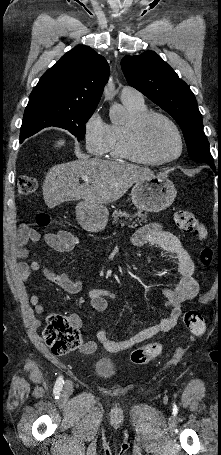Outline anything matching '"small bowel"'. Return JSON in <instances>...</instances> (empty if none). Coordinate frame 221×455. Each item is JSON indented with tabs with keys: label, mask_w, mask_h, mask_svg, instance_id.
Here are the masks:
<instances>
[{
	"label": "small bowel",
	"mask_w": 221,
	"mask_h": 455,
	"mask_svg": "<svg viewBox=\"0 0 221 455\" xmlns=\"http://www.w3.org/2000/svg\"><path fill=\"white\" fill-rule=\"evenodd\" d=\"M42 237L50 247L59 252H71L79 244V238L69 231L60 230L41 235L40 232L30 226L22 225L19 229V242L16 248L18 257L17 266L21 280L26 281L31 274L41 270L49 282L58 285L68 294H77L82 287L80 280L71 278L65 272L58 273L51 268H42L35 261L30 263L25 262V258L28 255V242L35 243ZM131 244L133 246L155 245L175 255L178 265L172 273L177 278V283L173 288L162 289L166 297V306L169 308V312L154 325L136 334L129 335L121 341L111 339L103 327L97 330V341L109 352H120L130 349L156 335L172 330L182 315L183 305L194 299L199 292V284L193 276L195 270L194 261L175 234L163 229L159 225H150L137 231L131 239ZM87 296L91 301L92 308L97 312H104L106 310L108 299H116L115 294L104 289H90L87 292ZM30 303L36 313L43 314L45 312V307L41 304L38 295H32L30 297ZM70 319L77 328L81 327V319L78 316L73 315ZM96 349L97 343L95 341H87L81 346V352L84 354H91Z\"/></svg>",
	"instance_id": "small-bowel-1"
}]
</instances>
